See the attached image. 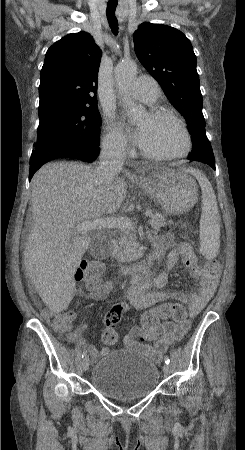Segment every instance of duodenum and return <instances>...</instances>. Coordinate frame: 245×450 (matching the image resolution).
<instances>
[{
	"label": "duodenum",
	"instance_id": "1",
	"mask_svg": "<svg viewBox=\"0 0 245 450\" xmlns=\"http://www.w3.org/2000/svg\"><path fill=\"white\" fill-rule=\"evenodd\" d=\"M107 234H112L113 232L111 230L106 231ZM108 244L110 247H114L116 244V240L114 238H110L108 241ZM155 265V259L154 258H148L144 262L134 263L131 265H128L124 268L125 274H140L144 272H149L152 270V268Z\"/></svg>",
	"mask_w": 245,
	"mask_h": 450
}]
</instances>
